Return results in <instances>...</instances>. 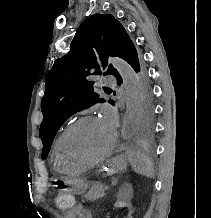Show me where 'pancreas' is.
Masks as SVG:
<instances>
[{"mask_svg":"<svg viewBox=\"0 0 211 218\" xmlns=\"http://www.w3.org/2000/svg\"><path fill=\"white\" fill-rule=\"evenodd\" d=\"M104 186L102 184H94L92 188H90L89 192L85 194L84 198H87V200H97V198H102L104 196Z\"/></svg>","mask_w":211,"mask_h":218,"instance_id":"pancreas-1","label":"pancreas"}]
</instances>
